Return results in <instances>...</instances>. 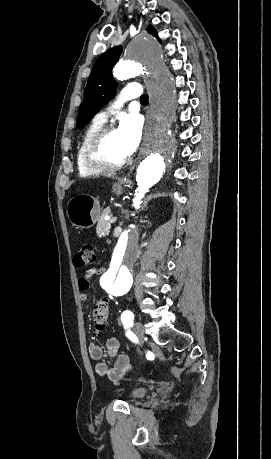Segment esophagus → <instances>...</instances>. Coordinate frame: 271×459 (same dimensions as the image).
Wrapping results in <instances>:
<instances>
[{"mask_svg": "<svg viewBox=\"0 0 271 459\" xmlns=\"http://www.w3.org/2000/svg\"><path fill=\"white\" fill-rule=\"evenodd\" d=\"M146 113H148V108H146ZM136 165V161L133 163V165L130 167V172L133 171L134 167ZM120 183H122V181H119Z\"/></svg>", "mask_w": 271, "mask_h": 459, "instance_id": "34e87169", "label": "esophagus"}]
</instances>
